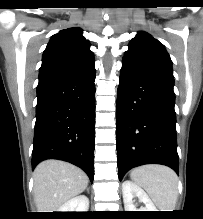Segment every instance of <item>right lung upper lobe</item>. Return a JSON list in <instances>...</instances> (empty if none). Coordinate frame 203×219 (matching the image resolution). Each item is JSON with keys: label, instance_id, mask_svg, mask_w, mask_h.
Segmentation results:
<instances>
[{"label": "right lung upper lobe", "instance_id": "obj_1", "mask_svg": "<svg viewBox=\"0 0 203 219\" xmlns=\"http://www.w3.org/2000/svg\"><path fill=\"white\" fill-rule=\"evenodd\" d=\"M90 44L79 28H68L52 36L42 58L41 70L84 65L94 61Z\"/></svg>", "mask_w": 203, "mask_h": 219}]
</instances>
